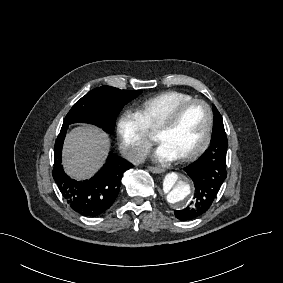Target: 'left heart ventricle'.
Instances as JSON below:
<instances>
[{
    "label": "left heart ventricle",
    "instance_id": "1",
    "mask_svg": "<svg viewBox=\"0 0 283 283\" xmlns=\"http://www.w3.org/2000/svg\"><path fill=\"white\" fill-rule=\"evenodd\" d=\"M207 125V113L200 104H192L169 130L155 134L160 144H165L177 157L193 150L201 142Z\"/></svg>",
    "mask_w": 283,
    "mask_h": 283
}]
</instances>
